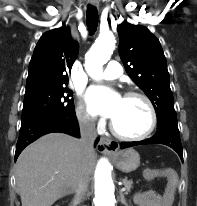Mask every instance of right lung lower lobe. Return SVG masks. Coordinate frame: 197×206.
Wrapping results in <instances>:
<instances>
[{
  "instance_id": "1",
  "label": "right lung lower lobe",
  "mask_w": 197,
  "mask_h": 206,
  "mask_svg": "<svg viewBox=\"0 0 197 206\" xmlns=\"http://www.w3.org/2000/svg\"><path fill=\"white\" fill-rule=\"evenodd\" d=\"M51 132H63L79 137V126L75 113L46 116L21 124L19 139L16 145L15 160L22 150L40 136Z\"/></svg>"
}]
</instances>
